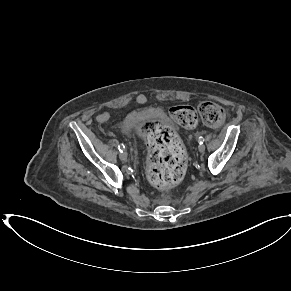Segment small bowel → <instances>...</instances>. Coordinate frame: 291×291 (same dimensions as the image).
<instances>
[{"label": "small bowel", "mask_w": 291, "mask_h": 291, "mask_svg": "<svg viewBox=\"0 0 291 291\" xmlns=\"http://www.w3.org/2000/svg\"><path fill=\"white\" fill-rule=\"evenodd\" d=\"M96 119L98 122H105L109 119V114L106 113V112H103V113H99L97 116H96Z\"/></svg>", "instance_id": "obj_1"}]
</instances>
